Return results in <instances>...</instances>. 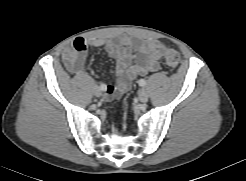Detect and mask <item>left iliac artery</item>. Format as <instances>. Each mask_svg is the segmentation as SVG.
<instances>
[{
  "mask_svg": "<svg viewBox=\"0 0 246 181\" xmlns=\"http://www.w3.org/2000/svg\"><path fill=\"white\" fill-rule=\"evenodd\" d=\"M138 84L141 86V87H144L146 85V81L144 79H140L138 81Z\"/></svg>",
  "mask_w": 246,
  "mask_h": 181,
  "instance_id": "44dca946",
  "label": "left iliac artery"
}]
</instances>
